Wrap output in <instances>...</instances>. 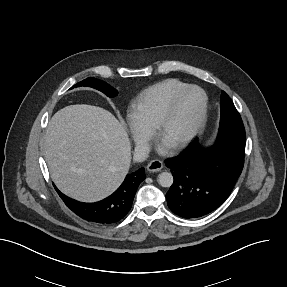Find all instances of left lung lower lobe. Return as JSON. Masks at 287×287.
<instances>
[{
	"mask_svg": "<svg viewBox=\"0 0 287 287\" xmlns=\"http://www.w3.org/2000/svg\"><path fill=\"white\" fill-rule=\"evenodd\" d=\"M244 155L245 135H218L209 148H202L195 139L181 154L165 160L174 177L166 193L168 207L186 219L214 211L230 195Z\"/></svg>",
	"mask_w": 287,
	"mask_h": 287,
	"instance_id": "left-lung-lower-lobe-1",
	"label": "left lung lower lobe"
}]
</instances>
